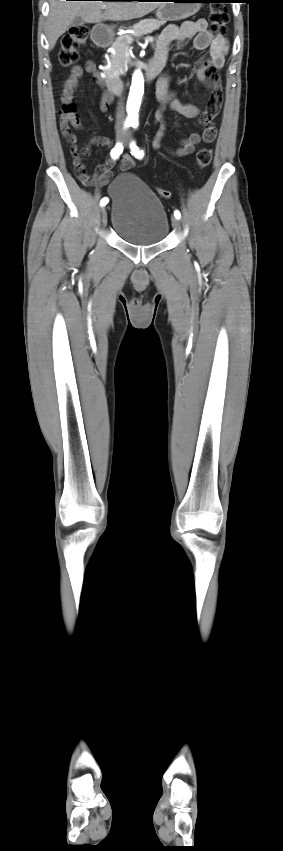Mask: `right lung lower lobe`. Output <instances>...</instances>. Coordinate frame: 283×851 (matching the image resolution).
I'll use <instances>...</instances> for the list:
<instances>
[{"label":"right lung lower lobe","instance_id":"obj_1","mask_svg":"<svg viewBox=\"0 0 283 851\" xmlns=\"http://www.w3.org/2000/svg\"><path fill=\"white\" fill-rule=\"evenodd\" d=\"M115 1H145V0H115Z\"/></svg>","mask_w":283,"mask_h":851}]
</instances>
